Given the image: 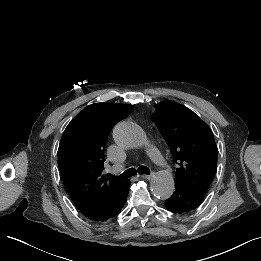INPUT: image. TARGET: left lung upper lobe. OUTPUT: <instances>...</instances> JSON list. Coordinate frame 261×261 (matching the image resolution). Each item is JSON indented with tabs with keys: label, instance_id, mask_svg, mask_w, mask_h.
<instances>
[{
	"label": "left lung upper lobe",
	"instance_id": "obj_1",
	"mask_svg": "<svg viewBox=\"0 0 261 261\" xmlns=\"http://www.w3.org/2000/svg\"><path fill=\"white\" fill-rule=\"evenodd\" d=\"M154 120L179 168L175 184L206 193L217 168L218 149L212 130L189 108L173 101L154 106Z\"/></svg>",
	"mask_w": 261,
	"mask_h": 261
}]
</instances>
